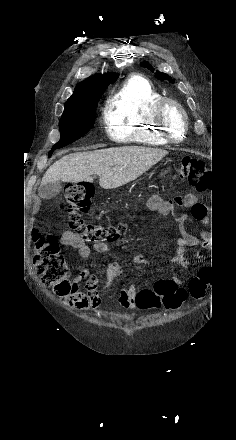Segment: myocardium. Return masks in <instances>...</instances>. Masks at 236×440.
<instances>
[{
  "mask_svg": "<svg viewBox=\"0 0 236 440\" xmlns=\"http://www.w3.org/2000/svg\"><path fill=\"white\" fill-rule=\"evenodd\" d=\"M169 108H175L181 115L183 122V130L181 137H175L170 128L167 125L166 113ZM153 121L157 127L158 133L168 142V143H180L182 142L187 134L189 119L184 107L178 101L172 98H162L154 107L153 110Z\"/></svg>",
  "mask_w": 236,
  "mask_h": 440,
  "instance_id": "myocardium-1",
  "label": "myocardium"
}]
</instances>
